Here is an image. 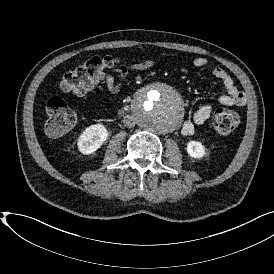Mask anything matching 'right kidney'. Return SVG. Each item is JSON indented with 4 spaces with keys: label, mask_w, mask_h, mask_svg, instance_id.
<instances>
[{
    "label": "right kidney",
    "mask_w": 274,
    "mask_h": 274,
    "mask_svg": "<svg viewBox=\"0 0 274 274\" xmlns=\"http://www.w3.org/2000/svg\"><path fill=\"white\" fill-rule=\"evenodd\" d=\"M109 133L103 124L87 127L78 138V149L84 155L94 153L108 139Z\"/></svg>",
    "instance_id": "1"
}]
</instances>
